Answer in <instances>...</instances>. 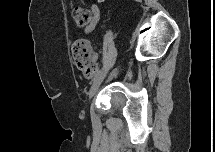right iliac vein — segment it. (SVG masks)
Segmentation results:
<instances>
[{"instance_id": "1", "label": "right iliac vein", "mask_w": 215, "mask_h": 152, "mask_svg": "<svg viewBox=\"0 0 215 152\" xmlns=\"http://www.w3.org/2000/svg\"><path fill=\"white\" fill-rule=\"evenodd\" d=\"M104 78V75H102V73L98 76V78L93 82L91 88H90V91H89V94H88V97L89 99H91L94 94L96 93L100 83L102 82Z\"/></svg>"}]
</instances>
